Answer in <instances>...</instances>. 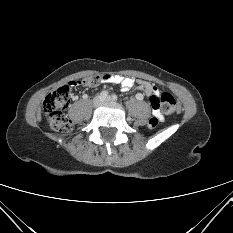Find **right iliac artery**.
Masks as SVG:
<instances>
[{
    "instance_id": "right-iliac-artery-1",
    "label": "right iliac artery",
    "mask_w": 233,
    "mask_h": 233,
    "mask_svg": "<svg viewBox=\"0 0 233 233\" xmlns=\"http://www.w3.org/2000/svg\"><path fill=\"white\" fill-rule=\"evenodd\" d=\"M100 95H101V97L105 98V97L108 96V92H107V91H102V92L100 93Z\"/></svg>"
}]
</instances>
